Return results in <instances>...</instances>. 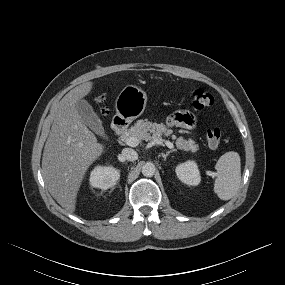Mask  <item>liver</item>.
Here are the masks:
<instances>
[{
    "label": "liver",
    "instance_id": "6515ba94",
    "mask_svg": "<svg viewBox=\"0 0 285 285\" xmlns=\"http://www.w3.org/2000/svg\"><path fill=\"white\" fill-rule=\"evenodd\" d=\"M92 88V82H84L61 99L43 151L45 184L67 213L75 211L84 175L105 149L83 123L76 109V102L88 95Z\"/></svg>",
    "mask_w": 285,
    "mask_h": 285
}]
</instances>
